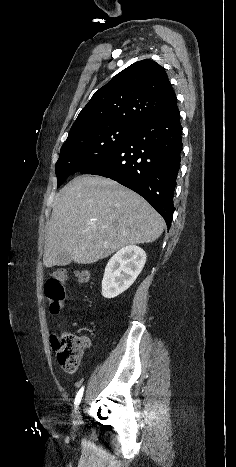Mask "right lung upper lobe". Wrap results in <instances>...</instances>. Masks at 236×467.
I'll use <instances>...</instances> for the list:
<instances>
[{"instance_id":"obj_1","label":"right lung upper lobe","mask_w":236,"mask_h":467,"mask_svg":"<svg viewBox=\"0 0 236 467\" xmlns=\"http://www.w3.org/2000/svg\"><path fill=\"white\" fill-rule=\"evenodd\" d=\"M176 105V94L163 67L153 60H141L94 93L69 135L113 125L137 129Z\"/></svg>"}]
</instances>
